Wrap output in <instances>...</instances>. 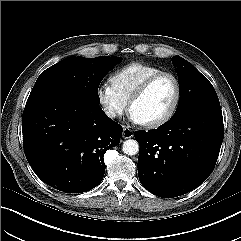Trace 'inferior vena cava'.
<instances>
[{
	"mask_svg": "<svg viewBox=\"0 0 241 241\" xmlns=\"http://www.w3.org/2000/svg\"><path fill=\"white\" fill-rule=\"evenodd\" d=\"M105 113L110 118H115L116 117V111L113 108H106L105 109Z\"/></svg>",
	"mask_w": 241,
	"mask_h": 241,
	"instance_id": "1",
	"label": "inferior vena cava"
}]
</instances>
